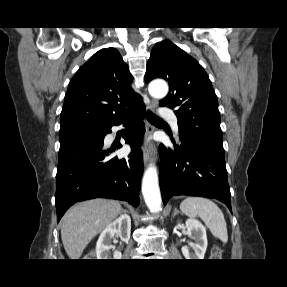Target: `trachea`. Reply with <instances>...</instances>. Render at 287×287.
<instances>
[{
	"mask_svg": "<svg viewBox=\"0 0 287 287\" xmlns=\"http://www.w3.org/2000/svg\"><path fill=\"white\" fill-rule=\"evenodd\" d=\"M147 119L151 123H161L164 122L162 119H160L158 116L153 114L151 111L147 112Z\"/></svg>",
	"mask_w": 287,
	"mask_h": 287,
	"instance_id": "obj_1",
	"label": "trachea"
}]
</instances>
